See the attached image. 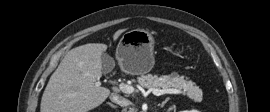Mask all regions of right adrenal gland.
Listing matches in <instances>:
<instances>
[{
  "label": "right adrenal gland",
  "instance_id": "2a0ac1e0",
  "mask_svg": "<svg viewBox=\"0 0 270 112\" xmlns=\"http://www.w3.org/2000/svg\"><path fill=\"white\" fill-rule=\"evenodd\" d=\"M107 104H108L110 107H112V108H117L116 105H114V104H112V103H110V102H108Z\"/></svg>",
  "mask_w": 270,
  "mask_h": 112
}]
</instances>
